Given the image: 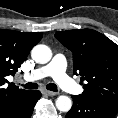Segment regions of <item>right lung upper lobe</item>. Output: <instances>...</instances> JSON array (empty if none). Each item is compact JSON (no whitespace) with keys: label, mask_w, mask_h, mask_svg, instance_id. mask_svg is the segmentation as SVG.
Returning a JSON list of instances; mask_svg holds the SVG:
<instances>
[{"label":"right lung upper lobe","mask_w":118,"mask_h":118,"mask_svg":"<svg viewBox=\"0 0 118 118\" xmlns=\"http://www.w3.org/2000/svg\"><path fill=\"white\" fill-rule=\"evenodd\" d=\"M42 35V32L0 29V118L26 102L32 95L33 91L19 89L13 83L7 85L6 77L17 72Z\"/></svg>","instance_id":"right-lung-upper-lobe-1"}]
</instances>
